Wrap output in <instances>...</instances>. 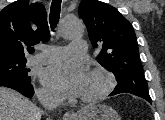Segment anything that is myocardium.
Listing matches in <instances>:
<instances>
[{"label":"myocardium","mask_w":165,"mask_h":120,"mask_svg":"<svg viewBox=\"0 0 165 120\" xmlns=\"http://www.w3.org/2000/svg\"><path fill=\"white\" fill-rule=\"evenodd\" d=\"M91 73L101 77L104 80V86L98 93L94 95L80 97V102L82 103H95L104 99L113 91L116 84L114 75L104 67L97 66L91 70Z\"/></svg>","instance_id":"myocardium-1"}]
</instances>
